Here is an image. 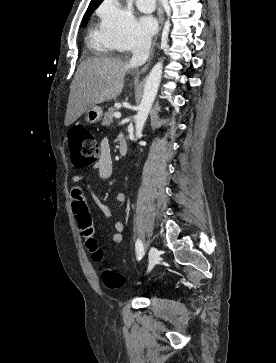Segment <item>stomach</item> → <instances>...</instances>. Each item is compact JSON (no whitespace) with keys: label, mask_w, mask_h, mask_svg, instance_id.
<instances>
[{"label":"stomach","mask_w":276,"mask_h":363,"mask_svg":"<svg viewBox=\"0 0 276 363\" xmlns=\"http://www.w3.org/2000/svg\"><path fill=\"white\" fill-rule=\"evenodd\" d=\"M103 111L99 106H92L85 111V120L87 123L94 124L102 119Z\"/></svg>","instance_id":"1"}]
</instances>
